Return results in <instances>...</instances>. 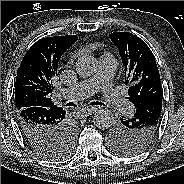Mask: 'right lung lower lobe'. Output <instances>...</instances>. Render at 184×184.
Returning <instances> with one entry per match:
<instances>
[{
    "mask_svg": "<svg viewBox=\"0 0 184 184\" xmlns=\"http://www.w3.org/2000/svg\"><path fill=\"white\" fill-rule=\"evenodd\" d=\"M66 111L62 107H28L17 111L20 129L31 145L39 152L59 146L68 131Z\"/></svg>",
    "mask_w": 184,
    "mask_h": 184,
    "instance_id": "right-lung-lower-lobe-1",
    "label": "right lung lower lobe"
}]
</instances>
